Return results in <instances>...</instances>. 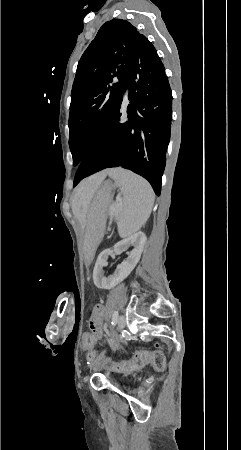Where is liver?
Returning <instances> with one entry per match:
<instances>
[{
    "instance_id": "1",
    "label": "liver",
    "mask_w": 241,
    "mask_h": 450,
    "mask_svg": "<svg viewBox=\"0 0 241 450\" xmlns=\"http://www.w3.org/2000/svg\"><path fill=\"white\" fill-rule=\"evenodd\" d=\"M110 170H103L98 172L86 180H82L75 188L72 196V206H84V210H87L96 190H98L101 182L105 180L106 176H109Z\"/></svg>"
}]
</instances>
